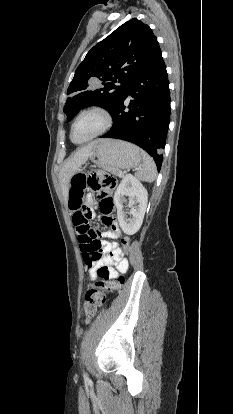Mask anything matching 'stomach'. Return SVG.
<instances>
[{
  "instance_id": "1",
  "label": "stomach",
  "mask_w": 233,
  "mask_h": 414,
  "mask_svg": "<svg viewBox=\"0 0 233 414\" xmlns=\"http://www.w3.org/2000/svg\"><path fill=\"white\" fill-rule=\"evenodd\" d=\"M93 143L94 147L89 159L107 171L129 170L141 165V150L133 144L109 139ZM86 174L84 168H80L70 179L67 197V206L70 210L76 209L82 202L81 198L86 189Z\"/></svg>"
}]
</instances>
